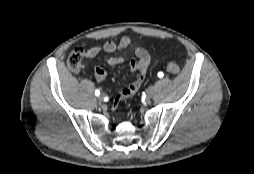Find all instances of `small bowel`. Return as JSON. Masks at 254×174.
I'll return each instance as SVG.
<instances>
[{
    "instance_id": "c3829d8e",
    "label": "small bowel",
    "mask_w": 254,
    "mask_h": 174,
    "mask_svg": "<svg viewBox=\"0 0 254 174\" xmlns=\"http://www.w3.org/2000/svg\"><path fill=\"white\" fill-rule=\"evenodd\" d=\"M126 49H133L136 56V59L130 62V69L135 73V77L127 86L118 91L114 106H116L123 99L132 97L136 94L146 76L151 62V56L143 47L135 45L128 36L122 37L119 42L109 40L102 45L93 46L86 50V57L94 58L100 53L112 54L115 52L124 51ZM125 60L126 57L123 55H113L107 59V63L110 66H116L124 63ZM94 75L98 82H103L106 79V71L100 66H96L94 68Z\"/></svg>"
}]
</instances>
